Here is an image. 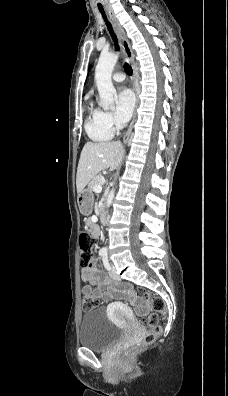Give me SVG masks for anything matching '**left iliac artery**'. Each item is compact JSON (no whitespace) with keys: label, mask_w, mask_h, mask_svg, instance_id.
I'll return each instance as SVG.
<instances>
[{"label":"left iliac artery","mask_w":228,"mask_h":396,"mask_svg":"<svg viewBox=\"0 0 228 396\" xmlns=\"http://www.w3.org/2000/svg\"><path fill=\"white\" fill-rule=\"evenodd\" d=\"M102 260H103V264H104L105 268L109 270L110 269V264L108 262L107 253H104L102 255Z\"/></svg>","instance_id":"obj_1"}]
</instances>
